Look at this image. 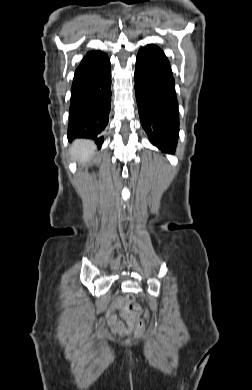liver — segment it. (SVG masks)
<instances>
[{
  "mask_svg": "<svg viewBox=\"0 0 252 390\" xmlns=\"http://www.w3.org/2000/svg\"><path fill=\"white\" fill-rule=\"evenodd\" d=\"M95 148V144L89 140H76L72 144L71 154L74 159L85 163L94 155Z\"/></svg>",
  "mask_w": 252,
  "mask_h": 390,
  "instance_id": "1",
  "label": "liver"
}]
</instances>
